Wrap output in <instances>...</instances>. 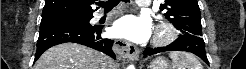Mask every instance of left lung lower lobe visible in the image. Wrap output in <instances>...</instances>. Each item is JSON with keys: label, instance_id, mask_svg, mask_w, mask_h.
<instances>
[{"label": "left lung lower lobe", "instance_id": "obj_1", "mask_svg": "<svg viewBox=\"0 0 246 69\" xmlns=\"http://www.w3.org/2000/svg\"><path fill=\"white\" fill-rule=\"evenodd\" d=\"M164 51H188L194 53L195 55L200 57L206 64L209 65L206 56L204 40L199 36L183 34L180 35L173 43L168 46L158 48H145L143 54L144 57H147L148 55H153Z\"/></svg>", "mask_w": 246, "mask_h": 69}]
</instances>
